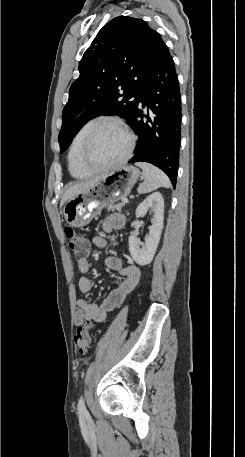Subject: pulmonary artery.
Here are the masks:
<instances>
[{
	"instance_id": "1",
	"label": "pulmonary artery",
	"mask_w": 245,
	"mask_h": 457,
	"mask_svg": "<svg viewBox=\"0 0 245 457\" xmlns=\"http://www.w3.org/2000/svg\"><path fill=\"white\" fill-rule=\"evenodd\" d=\"M137 94L139 95L140 93L138 92ZM139 98L141 99L142 97L140 96Z\"/></svg>"
}]
</instances>
